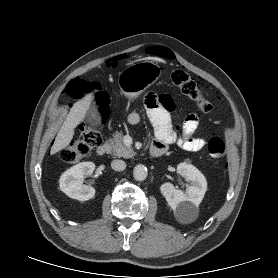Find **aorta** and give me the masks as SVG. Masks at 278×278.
<instances>
[{"label": "aorta", "mask_w": 278, "mask_h": 278, "mask_svg": "<svg viewBox=\"0 0 278 278\" xmlns=\"http://www.w3.org/2000/svg\"><path fill=\"white\" fill-rule=\"evenodd\" d=\"M147 175H148V170L146 166L142 164H138L134 167L133 176L135 180L143 181L147 178Z\"/></svg>", "instance_id": "aorta-1"}]
</instances>
